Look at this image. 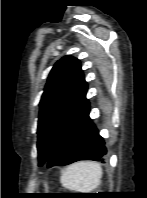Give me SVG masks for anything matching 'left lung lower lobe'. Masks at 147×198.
Wrapping results in <instances>:
<instances>
[{
    "mask_svg": "<svg viewBox=\"0 0 147 198\" xmlns=\"http://www.w3.org/2000/svg\"><path fill=\"white\" fill-rule=\"evenodd\" d=\"M103 138L89 118V103L55 145L47 167L68 165L79 160L103 161Z\"/></svg>",
    "mask_w": 147,
    "mask_h": 198,
    "instance_id": "obj_1",
    "label": "left lung lower lobe"
}]
</instances>
